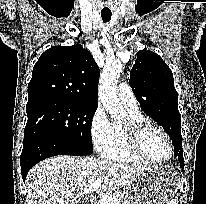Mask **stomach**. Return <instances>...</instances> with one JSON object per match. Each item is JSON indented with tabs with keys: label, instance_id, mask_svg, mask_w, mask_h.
<instances>
[{
	"label": "stomach",
	"instance_id": "0dacf381",
	"mask_svg": "<svg viewBox=\"0 0 206 204\" xmlns=\"http://www.w3.org/2000/svg\"><path fill=\"white\" fill-rule=\"evenodd\" d=\"M179 184L173 167L149 168L125 192L130 204H170Z\"/></svg>",
	"mask_w": 206,
	"mask_h": 204
}]
</instances>
